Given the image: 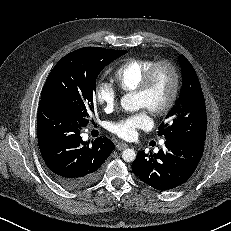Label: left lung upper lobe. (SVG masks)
Returning a JSON list of instances; mask_svg holds the SVG:
<instances>
[{"label": "left lung upper lobe", "instance_id": "1", "mask_svg": "<svg viewBox=\"0 0 231 231\" xmlns=\"http://www.w3.org/2000/svg\"><path fill=\"white\" fill-rule=\"evenodd\" d=\"M182 67V89L174 108L167 114L169 123L160 125L158 134L165 139L204 143L207 118L203 92L191 63L179 58Z\"/></svg>", "mask_w": 231, "mask_h": 231}]
</instances>
